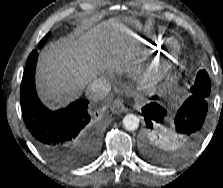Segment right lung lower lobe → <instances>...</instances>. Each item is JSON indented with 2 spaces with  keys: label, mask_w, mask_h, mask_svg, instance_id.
I'll use <instances>...</instances> for the list:
<instances>
[{
  "label": "right lung lower lobe",
  "mask_w": 223,
  "mask_h": 188,
  "mask_svg": "<svg viewBox=\"0 0 223 188\" xmlns=\"http://www.w3.org/2000/svg\"><path fill=\"white\" fill-rule=\"evenodd\" d=\"M37 50L27 60L21 82L22 115L34 144L53 164L76 168L87 163L100 146V134L87 112V101L77 100L58 111L47 109L35 89Z\"/></svg>",
  "instance_id": "1"
}]
</instances>
